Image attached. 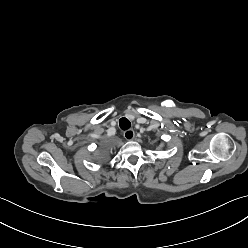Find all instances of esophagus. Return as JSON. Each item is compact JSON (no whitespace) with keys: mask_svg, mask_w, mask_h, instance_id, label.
Returning <instances> with one entry per match:
<instances>
[{"mask_svg":"<svg viewBox=\"0 0 248 248\" xmlns=\"http://www.w3.org/2000/svg\"><path fill=\"white\" fill-rule=\"evenodd\" d=\"M124 137L128 141L133 140L135 137V133L132 129H129V130L124 132Z\"/></svg>","mask_w":248,"mask_h":248,"instance_id":"obj_1","label":"esophagus"}]
</instances>
